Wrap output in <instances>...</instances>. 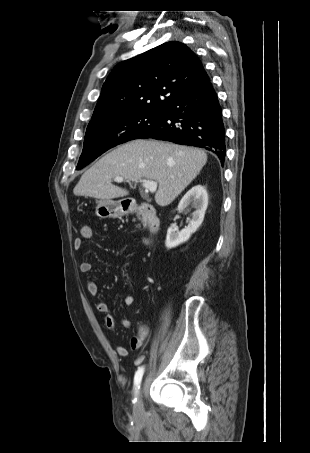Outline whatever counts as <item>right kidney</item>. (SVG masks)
Returning a JSON list of instances; mask_svg holds the SVG:
<instances>
[{"mask_svg": "<svg viewBox=\"0 0 310 453\" xmlns=\"http://www.w3.org/2000/svg\"><path fill=\"white\" fill-rule=\"evenodd\" d=\"M191 206L195 209L192 213V219L188 226L179 231L176 228L167 230L165 245L167 248H174L186 242L190 236L197 231L203 222L205 211L208 206V194L204 186L196 185L192 187L181 199L178 208L183 210Z\"/></svg>", "mask_w": 310, "mask_h": 453, "instance_id": "obj_1", "label": "right kidney"}]
</instances>
